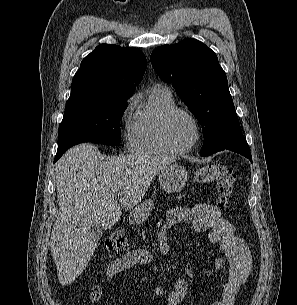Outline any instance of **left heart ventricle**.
Segmentation results:
<instances>
[{"instance_id": "1", "label": "left heart ventricle", "mask_w": 297, "mask_h": 305, "mask_svg": "<svg viewBox=\"0 0 297 305\" xmlns=\"http://www.w3.org/2000/svg\"><path fill=\"white\" fill-rule=\"evenodd\" d=\"M168 135L174 146L185 147L194 140L195 128L188 117L176 114L168 124Z\"/></svg>"}]
</instances>
